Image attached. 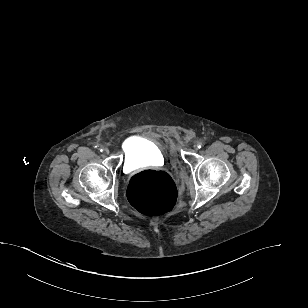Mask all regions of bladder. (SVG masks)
<instances>
[{"mask_svg": "<svg viewBox=\"0 0 308 308\" xmlns=\"http://www.w3.org/2000/svg\"><path fill=\"white\" fill-rule=\"evenodd\" d=\"M125 164L129 167L156 165L164 161L160 144L144 136L130 138L124 146Z\"/></svg>", "mask_w": 308, "mask_h": 308, "instance_id": "31cf9c89", "label": "bladder"}]
</instances>
